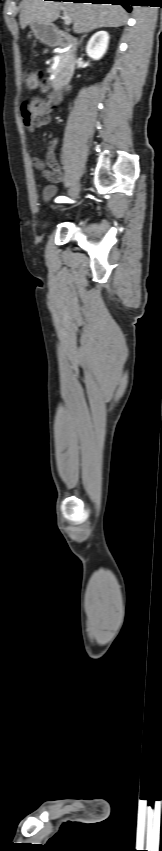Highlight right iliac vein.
Returning <instances> with one entry per match:
<instances>
[{
    "label": "right iliac vein",
    "instance_id": "1",
    "mask_svg": "<svg viewBox=\"0 0 162 851\" xmlns=\"http://www.w3.org/2000/svg\"><path fill=\"white\" fill-rule=\"evenodd\" d=\"M80 187H81V184H80L79 181L73 182V184H72V186L69 190V196H70L71 199L77 198V196L80 192Z\"/></svg>",
    "mask_w": 162,
    "mask_h": 851
}]
</instances>
